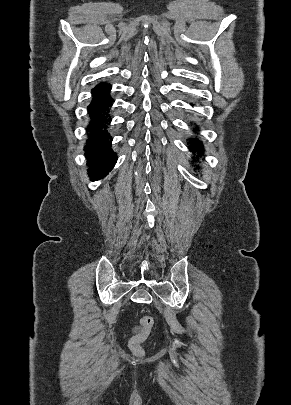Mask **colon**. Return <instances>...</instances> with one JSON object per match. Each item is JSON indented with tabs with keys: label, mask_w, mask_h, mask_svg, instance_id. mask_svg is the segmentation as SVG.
<instances>
[{
	"label": "colon",
	"mask_w": 291,
	"mask_h": 405,
	"mask_svg": "<svg viewBox=\"0 0 291 405\" xmlns=\"http://www.w3.org/2000/svg\"><path fill=\"white\" fill-rule=\"evenodd\" d=\"M153 326L154 319L151 316H143L141 318L138 332L129 341V347L136 356L144 354L141 344L148 338Z\"/></svg>",
	"instance_id": "obj_1"
}]
</instances>
